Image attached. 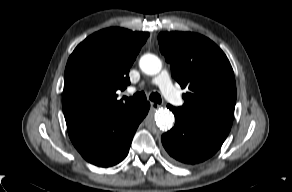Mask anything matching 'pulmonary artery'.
Masks as SVG:
<instances>
[{"instance_id":"1","label":"pulmonary artery","mask_w":292,"mask_h":192,"mask_svg":"<svg viewBox=\"0 0 292 192\" xmlns=\"http://www.w3.org/2000/svg\"><path fill=\"white\" fill-rule=\"evenodd\" d=\"M153 84L157 85L162 91L164 97L174 105H180L182 99L176 89L173 87L169 73L163 70L158 76L153 79ZM135 91V88H130L129 92Z\"/></svg>"}]
</instances>
